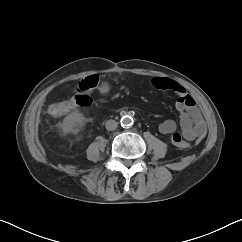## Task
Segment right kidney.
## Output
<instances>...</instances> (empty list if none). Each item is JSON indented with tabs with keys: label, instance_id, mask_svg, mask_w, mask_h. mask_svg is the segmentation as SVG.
Instances as JSON below:
<instances>
[{
	"label": "right kidney",
	"instance_id": "obj_1",
	"mask_svg": "<svg viewBox=\"0 0 242 242\" xmlns=\"http://www.w3.org/2000/svg\"><path fill=\"white\" fill-rule=\"evenodd\" d=\"M86 121L83 113L74 111L65 117L61 129L65 134L72 133L76 135L83 130Z\"/></svg>",
	"mask_w": 242,
	"mask_h": 242
}]
</instances>
